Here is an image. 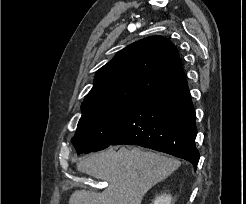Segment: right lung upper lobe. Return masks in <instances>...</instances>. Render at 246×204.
Here are the masks:
<instances>
[{
	"mask_svg": "<svg viewBox=\"0 0 246 204\" xmlns=\"http://www.w3.org/2000/svg\"><path fill=\"white\" fill-rule=\"evenodd\" d=\"M181 73L175 46L165 37L150 36L119 51L101 67L84 102L139 97Z\"/></svg>",
	"mask_w": 246,
	"mask_h": 204,
	"instance_id": "1",
	"label": "right lung upper lobe"
}]
</instances>
